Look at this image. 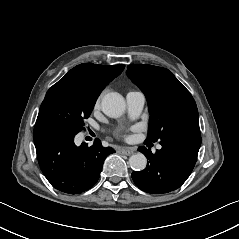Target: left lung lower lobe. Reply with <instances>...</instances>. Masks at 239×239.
Returning a JSON list of instances; mask_svg holds the SVG:
<instances>
[{
	"label": "left lung lower lobe",
	"mask_w": 239,
	"mask_h": 239,
	"mask_svg": "<svg viewBox=\"0 0 239 239\" xmlns=\"http://www.w3.org/2000/svg\"><path fill=\"white\" fill-rule=\"evenodd\" d=\"M160 144L162 148L155 154L146 147L138 149L149 161L143 171L132 173L134 183L141 190L152 194L176 190L187 180L201 145L200 130L179 129L163 136Z\"/></svg>",
	"instance_id": "obj_1"
}]
</instances>
